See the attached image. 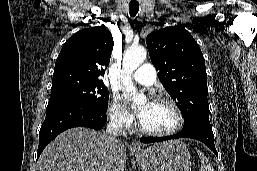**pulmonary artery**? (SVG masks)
<instances>
[{
	"mask_svg": "<svg viewBox=\"0 0 257 171\" xmlns=\"http://www.w3.org/2000/svg\"><path fill=\"white\" fill-rule=\"evenodd\" d=\"M157 78L156 69L149 63L142 64L133 74L132 79L142 85L150 86Z\"/></svg>",
	"mask_w": 257,
	"mask_h": 171,
	"instance_id": "pulmonary-artery-1",
	"label": "pulmonary artery"
}]
</instances>
